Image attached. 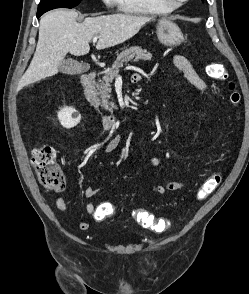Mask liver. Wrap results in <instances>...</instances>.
Instances as JSON below:
<instances>
[{"label": "liver", "instance_id": "6515ba94", "mask_svg": "<svg viewBox=\"0 0 249 294\" xmlns=\"http://www.w3.org/2000/svg\"><path fill=\"white\" fill-rule=\"evenodd\" d=\"M77 18L76 11L64 9L43 15L35 54L18 89L56 75L68 52L75 56L89 53V42L94 36L99 35L97 50L112 47L132 38L151 19L140 15L111 14L89 17L78 23Z\"/></svg>", "mask_w": 249, "mask_h": 294}]
</instances>
